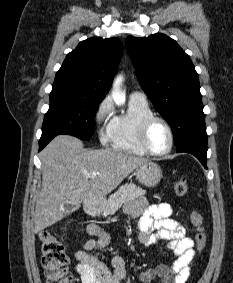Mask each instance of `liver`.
I'll use <instances>...</instances> for the list:
<instances>
[{
    "mask_svg": "<svg viewBox=\"0 0 233 283\" xmlns=\"http://www.w3.org/2000/svg\"><path fill=\"white\" fill-rule=\"evenodd\" d=\"M42 186L37 196L34 231L62 220L69 206L101 199L131 172L149 162L113 149L85 150L83 142L68 135L55 137L41 152ZM98 172L95 177L87 174Z\"/></svg>",
    "mask_w": 233,
    "mask_h": 283,
    "instance_id": "1",
    "label": "liver"
}]
</instances>
